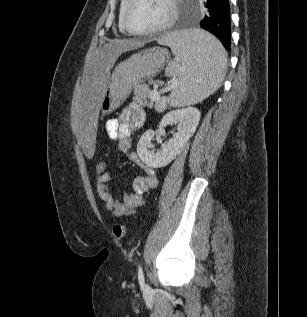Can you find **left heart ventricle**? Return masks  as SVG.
<instances>
[{"label":"left heart ventricle","mask_w":307,"mask_h":317,"mask_svg":"<svg viewBox=\"0 0 307 317\" xmlns=\"http://www.w3.org/2000/svg\"><path fill=\"white\" fill-rule=\"evenodd\" d=\"M170 14L168 0H134L128 11V23L133 30L152 29Z\"/></svg>","instance_id":"left-heart-ventricle-1"}]
</instances>
